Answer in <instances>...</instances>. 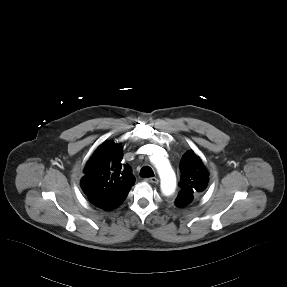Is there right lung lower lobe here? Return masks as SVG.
Here are the masks:
<instances>
[{"label": "right lung lower lobe", "instance_id": "98d812e1", "mask_svg": "<svg viewBox=\"0 0 287 287\" xmlns=\"http://www.w3.org/2000/svg\"><path fill=\"white\" fill-rule=\"evenodd\" d=\"M124 201V200H123ZM123 201H119V202H113V203H109V204H98V203H95V202H91L92 204H94L96 207L98 208H101L103 210H113L115 209L116 207H118Z\"/></svg>", "mask_w": 287, "mask_h": 287}]
</instances>
